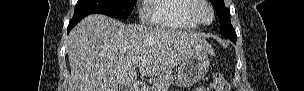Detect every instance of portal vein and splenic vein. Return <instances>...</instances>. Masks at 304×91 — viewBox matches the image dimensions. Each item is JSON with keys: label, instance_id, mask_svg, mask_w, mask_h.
Returning a JSON list of instances; mask_svg holds the SVG:
<instances>
[{"label": "portal vein and splenic vein", "instance_id": "1", "mask_svg": "<svg viewBox=\"0 0 304 91\" xmlns=\"http://www.w3.org/2000/svg\"><path fill=\"white\" fill-rule=\"evenodd\" d=\"M140 61H141V58L137 57V58H135V59L133 60V64H134V65H137V64L140 63Z\"/></svg>", "mask_w": 304, "mask_h": 91}]
</instances>
